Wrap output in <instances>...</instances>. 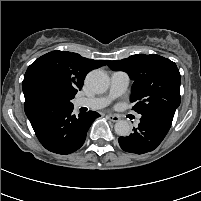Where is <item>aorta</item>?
Here are the masks:
<instances>
[{
	"mask_svg": "<svg viewBox=\"0 0 201 201\" xmlns=\"http://www.w3.org/2000/svg\"><path fill=\"white\" fill-rule=\"evenodd\" d=\"M86 84L95 93H103L108 89L109 78L103 70H92L86 77ZM115 132L119 136L126 137L131 132V126L126 120H119L114 126Z\"/></svg>",
	"mask_w": 201,
	"mask_h": 201,
	"instance_id": "obj_1",
	"label": "aorta"
}]
</instances>
